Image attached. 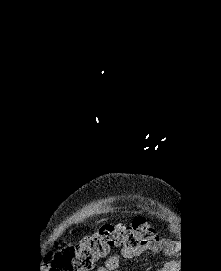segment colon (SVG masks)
I'll list each match as a JSON object with an SVG mask.
<instances>
[{"label": "colon", "instance_id": "1", "mask_svg": "<svg viewBox=\"0 0 221 271\" xmlns=\"http://www.w3.org/2000/svg\"><path fill=\"white\" fill-rule=\"evenodd\" d=\"M157 233L137 217L131 223H105L75 244H63L44 256L47 271H93L114 249L141 250L154 242Z\"/></svg>", "mask_w": 221, "mask_h": 271}]
</instances>
